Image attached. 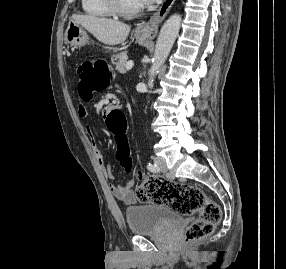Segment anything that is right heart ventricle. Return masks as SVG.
Masks as SVG:
<instances>
[{
    "label": "right heart ventricle",
    "instance_id": "obj_1",
    "mask_svg": "<svg viewBox=\"0 0 286 269\" xmlns=\"http://www.w3.org/2000/svg\"><path fill=\"white\" fill-rule=\"evenodd\" d=\"M81 7L86 15L95 18H108L112 16L104 6L102 0H81Z\"/></svg>",
    "mask_w": 286,
    "mask_h": 269
}]
</instances>
